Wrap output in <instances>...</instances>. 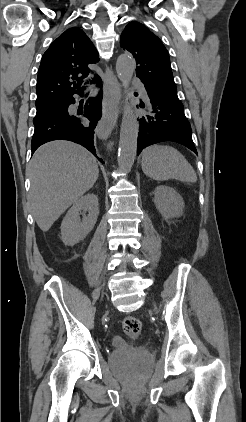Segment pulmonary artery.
Wrapping results in <instances>:
<instances>
[{
  "mask_svg": "<svg viewBox=\"0 0 246 422\" xmlns=\"http://www.w3.org/2000/svg\"><path fill=\"white\" fill-rule=\"evenodd\" d=\"M131 82L133 86L141 93V95L147 98V92L142 82L136 77L132 78Z\"/></svg>",
  "mask_w": 246,
  "mask_h": 422,
  "instance_id": "obj_1",
  "label": "pulmonary artery"
}]
</instances>
